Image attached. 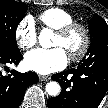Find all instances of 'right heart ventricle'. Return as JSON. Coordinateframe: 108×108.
I'll return each instance as SVG.
<instances>
[{"instance_id": "1", "label": "right heart ventricle", "mask_w": 108, "mask_h": 108, "mask_svg": "<svg viewBox=\"0 0 108 108\" xmlns=\"http://www.w3.org/2000/svg\"><path fill=\"white\" fill-rule=\"evenodd\" d=\"M39 20L45 26L58 30L75 21L74 16L61 8H50L39 15Z\"/></svg>"}]
</instances>
